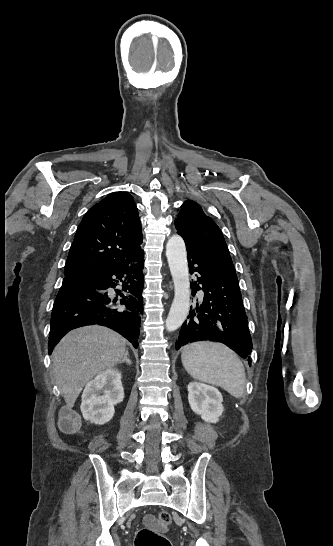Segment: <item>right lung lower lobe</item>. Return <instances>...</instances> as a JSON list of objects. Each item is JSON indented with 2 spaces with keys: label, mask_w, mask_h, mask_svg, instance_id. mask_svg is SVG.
<instances>
[{
  "label": "right lung lower lobe",
  "mask_w": 333,
  "mask_h": 546,
  "mask_svg": "<svg viewBox=\"0 0 333 546\" xmlns=\"http://www.w3.org/2000/svg\"><path fill=\"white\" fill-rule=\"evenodd\" d=\"M144 252L133 260L91 272L66 276L56 296L49 333V354L70 330L98 324L109 327L138 347L143 314ZM115 290L116 297L108 288Z\"/></svg>",
  "instance_id": "obj_1"
}]
</instances>
